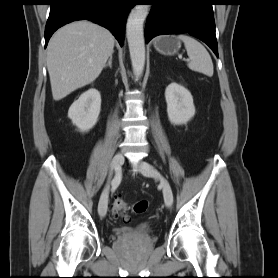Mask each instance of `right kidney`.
Masks as SVG:
<instances>
[{
  "mask_svg": "<svg viewBox=\"0 0 278 278\" xmlns=\"http://www.w3.org/2000/svg\"><path fill=\"white\" fill-rule=\"evenodd\" d=\"M101 109V95L95 88H90L73 102L68 117L81 132L92 129L98 121Z\"/></svg>",
  "mask_w": 278,
  "mask_h": 278,
  "instance_id": "1",
  "label": "right kidney"
}]
</instances>
